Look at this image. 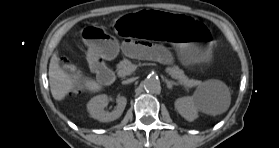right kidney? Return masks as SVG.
Returning a JSON list of instances; mask_svg holds the SVG:
<instances>
[{"mask_svg": "<svg viewBox=\"0 0 279 148\" xmlns=\"http://www.w3.org/2000/svg\"><path fill=\"white\" fill-rule=\"evenodd\" d=\"M117 107L112 112L105 111V107L108 103V96L105 94L93 97L87 104V110L91 117L102 122H110L118 119L127 104V99L124 96H118L116 98Z\"/></svg>", "mask_w": 279, "mask_h": 148, "instance_id": "obj_1", "label": "right kidney"}]
</instances>
